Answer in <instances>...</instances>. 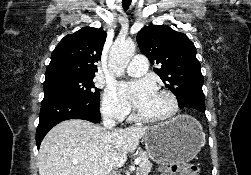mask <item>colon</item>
<instances>
[{
	"instance_id": "obj_1",
	"label": "colon",
	"mask_w": 251,
	"mask_h": 175,
	"mask_svg": "<svg viewBox=\"0 0 251 175\" xmlns=\"http://www.w3.org/2000/svg\"><path fill=\"white\" fill-rule=\"evenodd\" d=\"M199 173V167L188 162L165 164L161 167V175H199Z\"/></svg>"
}]
</instances>
